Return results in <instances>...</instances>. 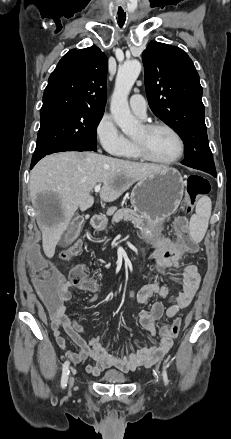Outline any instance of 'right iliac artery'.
Here are the masks:
<instances>
[{"label": "right iliac artery", "mask_w": 231, "mask_h": 439, "mask_svg": "<svg viewBox=\"0 0 231 439\" xmlns=\"http://www.w3.org/2000/svg\"><path fill=\"white\" fill-rule=\"evenodd\" d=\"M68 374H69V361H65L62 367V377H61L62 388H65L67 386Z\"/></svg>", "instance_id": "obj_1"}]
</instances>
